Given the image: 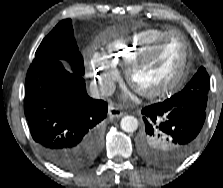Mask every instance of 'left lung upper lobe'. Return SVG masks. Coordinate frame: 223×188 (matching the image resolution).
<instances>
[{
  "instance_id": "obj_1",
  "label": "left lung upper lobe",
  "mask_w": 223,
  "mask_h": 188,
  "mask_svg": "<svg viewBox=\"0 0 223 188\" xmlns=\"http://www.w3.org/2000/svg\"><path fill=\"white\" fill-rule=\"evenodd\" d=\"M209 89V75L206 69L201 67L181 92L165 100L164 103L172 106H191L205 110ZM139 149L141 157L147 162L159 166L173 164L171 161L173 145L159 131L145 133L142 130L139 138Z\"/></svg>"
}]
</instances>
